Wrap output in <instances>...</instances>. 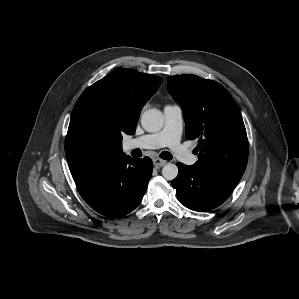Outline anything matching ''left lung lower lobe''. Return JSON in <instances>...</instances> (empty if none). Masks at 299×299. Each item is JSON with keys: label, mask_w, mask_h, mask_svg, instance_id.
<instances>
[{"label": "left lung lower lobe", "mask_w": 299, "mask_h": 299, "mask_svg": "<svg viewBox=\"0 0 299 299\" xmlns=\"http://www.w3.org/2000/svg\"><path fill=\"white\" fill-rule=\"evenodd\" d=\"M178 176L172 181L178 200L194 211H209L221 205L237 183L209 174L193 165L177 163Z\"/></svg>", "instance_id": "0a47b994"}]
</instances>
